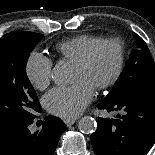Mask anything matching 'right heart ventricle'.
I'll return each mask as SVG.
<instances>
[{
    "label": "right heart ventricle",
    "mask_w": 155,
    "mask_h": 155,
    "mask_svg": "<svg viewBox=\"0 0 155 155\" xmlns=\"http://www.w3.org/2000/svg\"><path fill=\"white\" fill-rule=\"evenodd\" d=\"M103 40L101 37L82 34L56 45L57 53L64 59L76 63L97 42Z\"/></svg>",
    "instance_id": "1"
}]
</instances>
